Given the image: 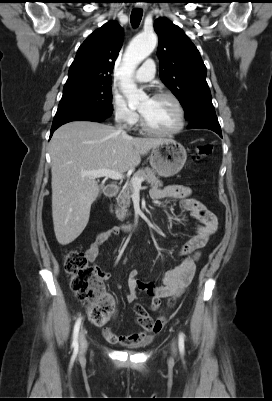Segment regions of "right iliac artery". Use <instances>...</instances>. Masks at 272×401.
Wrapping results in <instances>:
<instances>
[{"label":"right iliac artery","instance_id":"obj_1","mask_svg":"<svg viewBox=\"0 0 272 401\" xmlns=\"http://www.w3.org/2000/svg\"><path fill=\"white\" fill-rule=\"evenodd\" d=\"M81 318H79L75 325H74V330H73V341H72V346L74 347L75 353L78 351V333L81 325Z\"/></svg>","mask_w":272,"mask_h":401}]
</instances>
